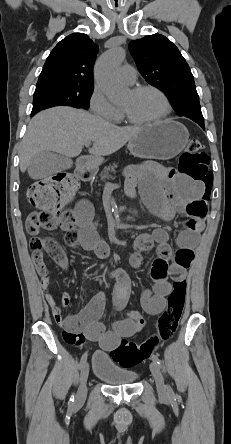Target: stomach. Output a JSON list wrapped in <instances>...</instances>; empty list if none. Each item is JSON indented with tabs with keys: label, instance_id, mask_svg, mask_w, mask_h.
I'll use <instances>...</instances> for the list:
<instances>
[{
	"label": "stomach",
	"instance_id": "obj_1",
	"mask_svg": "<svg viewBox=\"0 0 231 444\" xmlns=\"http://www.w3.org/2000/svg\"><path fill=\"white\" fill-rule=\"evenodd\" d=\"M188 130L181 123L168 119L144 127L128 144L130 153L139 158L168 160L178 155L187 145ZM102 158L85 157L78 161L82 171L100 165Z\"/></svg>",
	"mask_w": 231,
	"mask_h": 444
}]
</instances>
